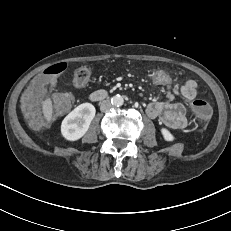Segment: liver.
Masks as SVG:
<instances>
[{
	"mask_svg": "<svg viewBox=\"0 0 231 231\" xmlns=\"http://www.w3.org/2000/svg\"><path fill=\"white\" fill-rule=\"evenodd\" d=\"M42 113L44 116V119L48 124L52 121V115H53V105L52 100L50 98H47L42 103Z\"/></svg>",
	"mask_w": 231,
	"mask_h": 231,
	"instance_id": "liver-1",
	"label": "liver"
}]
</instances>
